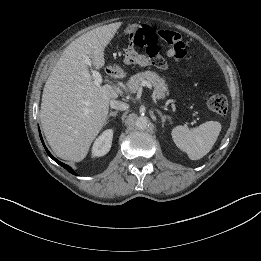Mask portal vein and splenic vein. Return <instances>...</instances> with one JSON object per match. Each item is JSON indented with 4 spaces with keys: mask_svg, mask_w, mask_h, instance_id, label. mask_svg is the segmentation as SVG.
Here are the masks:
<instances>
[{
    "mask_svg": "<svg viewBox=\"0 0 261 261\" xmlns=\"http://www.w3.org/2000/svg\"><path fill=\"white\" fill-rule=\"evenodd\" d=\"M85 63H86L89 67L92 66V61H91V59H90L89 57H86ZM90 70H91V74H92V77H93V79H94L95 85H96V86H100V84L103 82V79H102L101 74H100L98 71L93 70L92 68H91ZM145 85L148 86V87H150V84H149L147 81H144V82L142 83V86H145ZM116 90H117V92H120L119 89H116Z\"/></svg>",
    "mask_w": 261,
    "mask_h": 261,
    "instance_id": "portal-vein-and-splenic-vein-1",
    "label": "portal vein and splenic vein"
}]
</instances>
